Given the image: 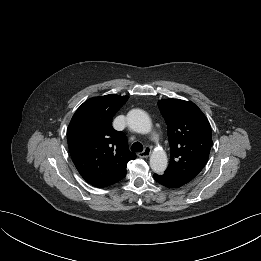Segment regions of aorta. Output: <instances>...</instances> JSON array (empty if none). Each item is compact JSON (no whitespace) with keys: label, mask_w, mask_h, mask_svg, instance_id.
I'll use <instances>...</instances> for the list:
<instances>
[{"label":"aorta","mask_w":261,"mask_h":261,"mask_svg":"<svg viewBox=\"0 0 261 261\" xmlns=\"http://www.w3.org/2000/svg\"><path fill=\"white\" fill-rule=\"evenodd\" d=\"M127 124L129 128L140 134H147L152 129V122L149 115L140 109H133L127 114ZM168 164L165 151L156 150L150 156L151 169L158 174H162Z\"/></svg>","instance_id":"762f6f07"}]
</instances>
